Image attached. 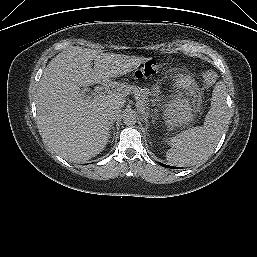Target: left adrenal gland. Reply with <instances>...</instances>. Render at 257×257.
<instances>
[{
  "mask_svg": "<svg viewBox=\"0 0 257 257\" xmlns=\"http://www.w3.org/2000/svg\"><path fill=\"white\" fill-rule=\"evenodd\" d=\"M143 118H144V120L146 122V125H148V115L146 113L144 114Z\"/></svg>",
  "mask_w": 257,
  "mask_h": 257,
  "instance_id": "a2214340",
  "label": "left adrenal gland"
}]
</instances>
